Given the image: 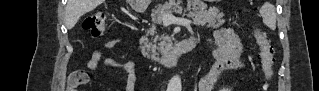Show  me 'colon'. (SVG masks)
I'll return each instance as SVG.
<instances>
[{
	"instance_id": "colon-1",
	"label": "colon",
	"mask_w": 319,
	"mask_h": 91,
	"mask_svg": "<svg viewBox=\"0 0 319 91\" xmlns=\"http://www.w3.org/2000/svg\"><path fill=\"white\" fill-rule=\"evenodd\" d=\"M82 27L92 37H100L104 35L107 28L106 13L103 11H97L88 15L83 20ZM254 32L260 47L261 66L267 80L265 84V90H267L273 77L274 48L264 32L260 31L256 27L254 28Z\"/></svg>"
}]
</instances>
